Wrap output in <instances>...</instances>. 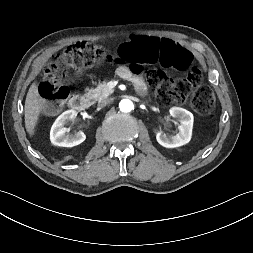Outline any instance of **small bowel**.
<instances>
[{"mask_svg": "<svg viewBox=\"0 0 253 253\" xmlns=\"http://www.w3.org/2000/svg\"><path fill=\"white\" fill-rule=\"evenodd\" d=\"M171 41V40H170ZM140 65V64H139ZM141 66V65H140ZM117 74L127 80H135L136 88L139 93H144L146 88L142 80L138 79L132 70L126 66H120L117 69Z\"/></svg>", "mask_w": 253, "mask_h": 253, "instance_id": "obj_1", "label": "small bowel"}]
</instances>
